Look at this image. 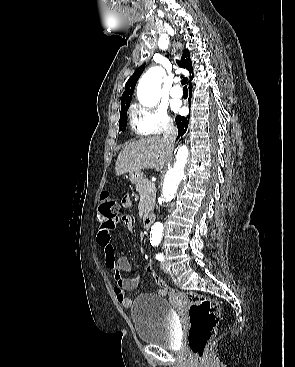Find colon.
<instances>
[{"label": "colon", "instance_id": "obj_1", "mask_svg": "<svg viewBox=\"0 0 295 367\" xmlns=\"http://www.w3.org/2000/svg\"><path fill=\"white\" fill-rule=\"evenodd\" d=\"M117 204L110 199L107 192L101 197L98 219L109 222L116 218ZM147 272L161 287L162 294L182 297L189 302L190 328L188 332V346L197 358L202 359L210 339L215 335L219 320L220 307L212 298L196 292H179L164 283L152 266L147 267Z\"/></svg>", "mask_w": 295, "mask_h": 367}]
</instances>
